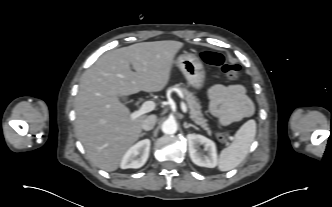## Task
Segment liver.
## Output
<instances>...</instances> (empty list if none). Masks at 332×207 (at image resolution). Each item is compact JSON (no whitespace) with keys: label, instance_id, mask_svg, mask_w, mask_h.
<instances>
[{"label":"liver","instance_id":"1","mask_svg":"<svg viewBox=\"0 0 332 207\" xmlns=\"http://www.w3.org/2000/svg\"><path fill=\"white\" fill-rule=\"evenodd\" d=\"M182 47V42L172 40L136 43L103 54L83 73L75 99V130L96 167L117 170L141 135L146 115L131 120L120 97L162 91Z\"/></svg>","mask_w":332,"mask_h":207}]
</instances>
